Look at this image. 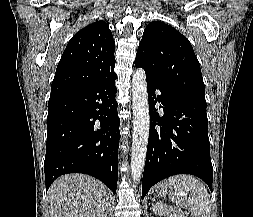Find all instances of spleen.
Wrapping results in <instances>:
<instances>
[{"label":"spleen","instance_id":"obj_1","mask_svg":"<svg viewBox=\"0 0 253 217\" xmlns=\"http://www.w3.org/2000/svg\"><path fill=\"white\" fill-rule=\"evenodd\" d=\"M168 185L169 196L178 208H188L195 217H210V196L197 178L191 175H175L168 179Z\"/></svg>","mask_w":253,"mask_h":217}]
</instances>
